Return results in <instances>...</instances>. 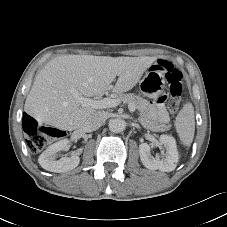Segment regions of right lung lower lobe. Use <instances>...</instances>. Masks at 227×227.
<instances>
[{"instance_id": "right-lung-lower-lobe-1", "label": "right lung lower lobe", "mask_w": 227, "mask_h": 227, "mask_svg": "<svg viewBox=\"0 0 227 227\" xmlns=\"http://www.w3.org/2000/svg\"><path fill=\"white\" fill-rule=\"evenodd\" d=\"M31 119L30 116H28L26 113H24L23 116V127L28 123V121Z\"/></svg>"}]
</instances>
